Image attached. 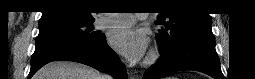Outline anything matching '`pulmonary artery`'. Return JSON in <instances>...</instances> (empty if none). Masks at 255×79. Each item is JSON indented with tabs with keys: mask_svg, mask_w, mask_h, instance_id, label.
Wrapping results in <instances>:
<instances>
[{
	"mask_svg": "<svg viewBox=\"0 0 255 79\" xmlns=\"http://www.w3.org/2000/svg\"><path fill=\"white\" fill-rule=\"evenodd\" d=\"M148 13L142 14H111L108 17H100L97 21L99 28L114 27V26H130L137 20L146 19Z\"/></svg>",
	"mask_w": 255,
	"mask_h": 79,
	"instance_id": "pulmonary-artery-1",
	"label": "pulmonary artery"
}]
</instances>
